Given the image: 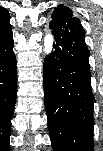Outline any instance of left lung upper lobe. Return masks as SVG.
<instances>
[{"instance_id":"left-lung-upper-lobe-1","label":"left lung upper lobe","mask_w":103,"mask_h":151,"mask_svg":"<svg viewBox=\"0 0 103 151\" xmlns=\"http://www.w3.org/2000/svg\"><path fill=\"white\" fill-rule=\"evenodd\" d=\"M72 15L73 12L71 9L59 5L52 14L54 20L51 21V24L55 29L63 30L73 23H80V20Z\"/></svg>"}]
</instances>
